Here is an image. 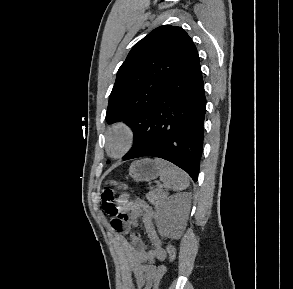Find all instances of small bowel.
Returning <instances> with one entry per match:
<instances>
[{"instance_id":"small-bowel-1","label":"small bowel","mask_w":293,"mask_h":289,"mask_svg":"<svg viewBox=\"0 0 293 289\" xmlns=\"http://www.w3.org/2000/svg\"><path fill=\"white\" fill-rule=\"evenodd\" d=\"M122 216L111 218L112 228L118 232L117 239L120 246L132 266V274L135 278L137 289H151V281L158 270L162 267H156L155 261H164L167 253L163 247L162 241L156 231L153 223L154 210L145 201L141 199H130L127 194H122L117 198ZM139 221H142L146 235L150 241L151 247L132 231L137 227ZM122 224L123 228L117 229L115 225ZM129 233L130 240H127L125 234Z\"/></svg>"}]
</instances>
